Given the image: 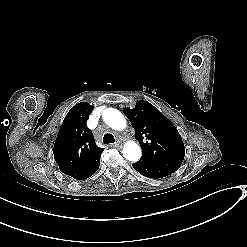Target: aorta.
<instances>
[{
	"mask_svg": "<svg viewBox=\"0 0 247 247\" xmlns=\"http://www.w3.org/2000/svg\"><path fill=\"white\" fill-rule=\"evenodd\" d=\"M104 120L114 130L121 131L126 127V119L123 114L113 108H108L104 114ZM123 156L132 162H136L141 157L139 145L133 141H128L123 147Z\"/></svg>",
	"mask_w": 247,
	"mask_h": 247,
	"instance_id": "obj_1",
	"label": "aorta"
}]
</instances>
